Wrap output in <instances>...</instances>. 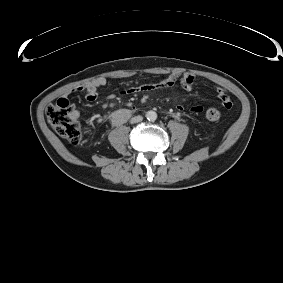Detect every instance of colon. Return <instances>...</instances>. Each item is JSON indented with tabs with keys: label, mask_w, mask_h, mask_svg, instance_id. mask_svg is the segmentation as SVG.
<instances>
[{
	"label": "colon",
	"mask_w": 283,
	"mask_h": 283,
	"mask_svg": "<svg viewBox=\"0 0 283 283\" xmlns=\"http://www.w3.org/2000/svg\"><path fill=\"white\" fill-rule=\"evenodd\" d=\"M47 119L58 135L72 145L81 141V126L74 116V105L65 97H61L54 105L47 109ZM222 112L214 107L205 111V119L209 122H218L222 119Z\"/></svg>",
	"instance_id": "5ec220e1"
}]
</instances>
